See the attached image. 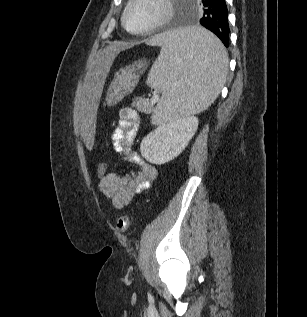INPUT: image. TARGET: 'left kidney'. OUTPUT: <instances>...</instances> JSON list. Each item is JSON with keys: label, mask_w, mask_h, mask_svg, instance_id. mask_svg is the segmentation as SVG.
Returning <instances> with one entry per match:
<instances>
[{"label": "left kidney", "mask_w": 307, "mask_h": 317, "mask_svg": "<svg viewBox=\"0 0 307 317\" xmlns=\"http://www.w3.org/2000/svg\"><path fill=\"white\" fill-rule=\"evenodd\" d=\"M199 120L194 116L178 118L162 124L141 142L142 156L161 165L177 157L194 136Z\"/></svg>", "instance_id": "5707ae66"}]
</instances>
